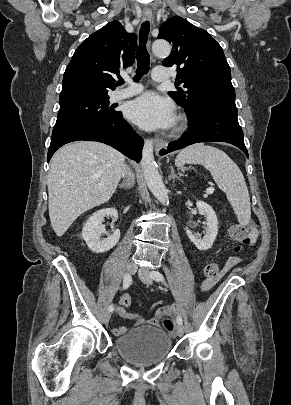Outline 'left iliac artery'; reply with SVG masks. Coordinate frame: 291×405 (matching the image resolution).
I'll use <instances>...</instances> for the list:
<instances>
[{"label": "left iliac artery", "instance_id": "1", "mask_svg": "<svg viewBox=\"0 0 291 405\" xmlns=\"http://www.w3.org/2000/svg\"><path fill=\"white\" fill-rule=\"evenodd\" d=\"M150 276L152 277V279H154L156 281H160V282L164 281L163 275L158 271H151ZM177 323H178V325H182V323H183L182 317L180 315L177 316Z\"/></svg>", "mask_w": 291, "mask_h": 405}]
</instances>
